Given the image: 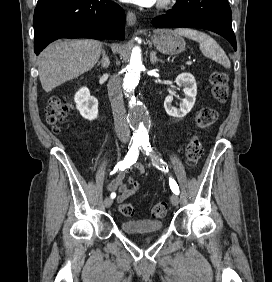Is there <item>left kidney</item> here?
<instances>
[{"label": "left kidney", "instance_id": "left-kidney-1", "mask_svg": "<svg viewBox=\"0 0 272 282\" xmlns=\"http://www.w3.org/2000/svg\"><path fill=\"white\" fill-rule=\"evenodd\" d=\"M178 87H183L184 98L180 104V108H175L172 105V95L165 98L164 108L169 116L175 118L185 117L193 108L196 95H197V84L195 78L190 73H181L175 80Z\"/></svg>", "mask_w": 272, "mask_h": 282}]
</instances>
